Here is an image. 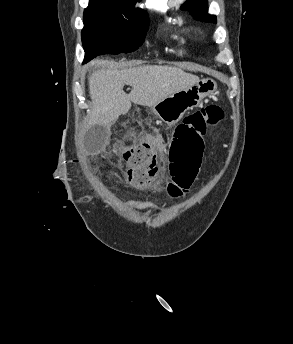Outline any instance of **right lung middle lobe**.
Instances as JSON below:
<instances>
[{"instance_id":"right-lung-middle-lobe-1","label":"right lung middle lobe","mask_w":293,"mask_h":344,"mask_svg":"<svg viewBox=\"0 0 293 344\" xmlns=\"http://www.w3.org/2000/svg\"><path fill=\"white\" fill-rule=\"evenodd\" d=\"M84 63L97 55L133 52L142 45L149 20L133 9L89 3L84 11Z\"/></svg>"}]
</instances>
